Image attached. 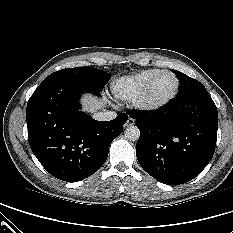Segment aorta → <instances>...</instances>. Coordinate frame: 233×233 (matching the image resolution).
<instances>
[{
	"mask_svg": "<svg viewBox=\"0 0 233 233\" xmlns=\"http://www.w3.org/2000/svg\"><path fill=\"white\" fill-rule=\"evenodd\" d=\"M124 136L128 141H137L140 137V131L137 126L130 125L125 129Z\"/></svg>",
	"mask_w": 233,
	"mask_h": 233,
	"instance_id": "1",
	"label": "aorta"
}]
</instances>
